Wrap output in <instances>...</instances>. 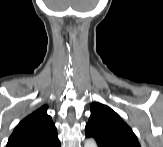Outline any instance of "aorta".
I'll use <instances>...</instances> for the list:
<instances>
[{
  "label": "aorta",
  "instance_id": "762f6f07",
  "mask_svg": "<svg viewBox=\"0 0 163 147\" xmlns=\"http://www.w3.org/2000/svg\"><path fill=\"white\" fill-rule=\"evenodd\" d=\"M84 147H97V143L93 138H89L85 141Z\"/></svg>",
  "mask_w": 163,
  "mask_h": 147
}]
</instances>
